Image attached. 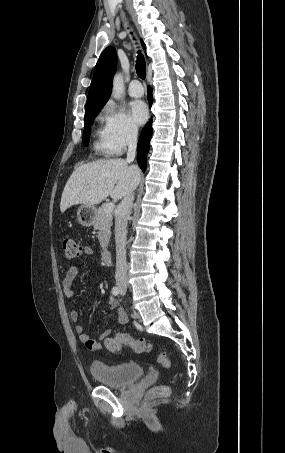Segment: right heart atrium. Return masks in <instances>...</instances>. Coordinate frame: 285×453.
Wrapping results in <instances>:
<instances>
[{
    "mask_svg": "<svg viewBox=\"0 0 285 453\" xmlns=\"http://www.w3.org/2000/svg\"><path fill=\"white\" fill-rule=\"evenodd\" d=\"M104 135L111 155L122 154L138 137V128L122 110L109 105L104 112Z\"/></svg>",
    "mask_w": 285,
    "mask_h": 453,
    "instance_id": "d8ad5b80",
    "label": "right heart atrium"
}]
</instances>
